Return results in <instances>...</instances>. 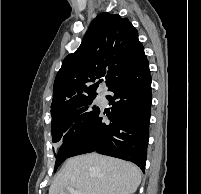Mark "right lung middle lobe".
<instances>
[{
    "instance_id": "1",
    "label": "right lung middle lobe",
    "mask_w": 201,
    "mask_h": 194,
    "mask_svg": "<svg viewBox=\"0 0 201 194\" xmlns=\"http://www.w3.org/2000/svg\"><path fill=\"white\" fill-rule=\"evenodd\" d=\"M94 98H87L76 104L66 114L52 118L51 132L53 142L66 141L100 113V108L92 104ZM64 160L62 155L58 154L56 156L55 171Z\"/></svg>"
}]
</instances>
